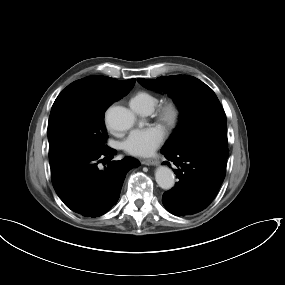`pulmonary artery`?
Here are the masks:
<instances>
[{"label":"pulmonary artery","mask_w":285,"mask_h":285,"mask_svg":"<svg viewBox=\"0 0 285 285\" xmlns=\"http://www.w3.org/2000/svg\"><path fill=\"white\" fill-rule=\"evenodd\" d=\"M136 111L139 112V113L147 114V113H149L151 110H150V109H141V110H136Z\"/></svg>","instance_id":"e3ab8cb5"}]
</instances>
